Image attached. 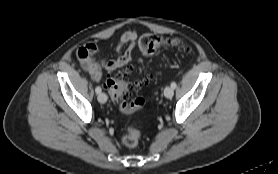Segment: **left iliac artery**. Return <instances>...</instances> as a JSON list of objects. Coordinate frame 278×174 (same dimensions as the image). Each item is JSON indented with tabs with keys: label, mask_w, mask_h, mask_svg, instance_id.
<instances>
[{
	"label": "left iliac artery",
	"mask_w": 278,
	"mask_h": 174,
	"mask_svg": "<svg viewBox=\"0 0 278 174\" xmlns=\"http://www.w3.org/2000/svg\"><path fill=\"white\" fill-rule=\"evenodd\" d=\"M171 87H172L173 89H175V88L177 87V84H176L175 82H172V83H171Z\"/></svg>",
	"instance_id": "left-iliac-artery-1"
}]
</instances>
